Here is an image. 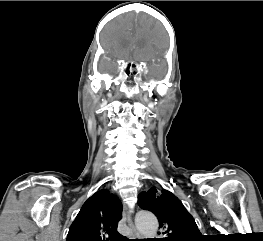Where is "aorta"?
Returning <instances> with one entry per match:
<instances>
[{"label": "aorta", "mask_w": 263, "mask_h": 241, "mask_svg": "<svg viewBox=\"0 0 263 241\" xmlns=\"http://www.w3.org/2000/svg\"><path fill=\"white\" fill-rule=\"evenodd\" d=\"M136 226L143 236L150 237L156 234L158 230V221L153 213L141 210L136 215Z\"/></svg>", "instance_id": "aorta-1"}]
</instances>
